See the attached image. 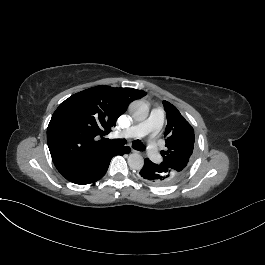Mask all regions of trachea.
Segmentation results:
<instances>
[{
  "label": "trachea",
  "mask_w": 265,
  "mask_h": 265,
  "mask_svg": "<svg viewBox=\"0 0 265 265\" xmlns=\"http://www.w3.org/2000/svg\"><path fill=\"white\" fill-rule=\"evenodd\" d=\"M125 143H126V141L124 139H114V140H108L107 141V144H110V145L116 146V147H122L125 145ZM132 146L136 150L146 149V147L140 141H134Z\"/></svg>",
  "instance_id": "trachea-1"
}]
</instances>
